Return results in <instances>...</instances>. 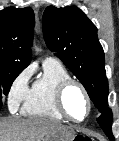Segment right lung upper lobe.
<instances>
[{"label":"right lung upper lobe","instance_id":"right-lung-upper-lobe-1","mask_svg":"<svg viewBox=\"0 0 119 141\" xmlns=\"http://www.w3.org/2000/svg\"><path fill=\"white\" fill-rule=\"evenodd\" d=\"M35 18L30 7L0 11V70L23 71L31 61Z\"/></svg>","mask_w":119,"mask_h":141}]
</instances>
